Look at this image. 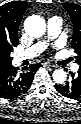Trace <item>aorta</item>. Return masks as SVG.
<instances>
[{
  "instance_id": "aorta-1",
  "label": "aorta",
  "mask_w": 81,
  "mask_h": 124,
  "mask_svg": "<svg viewBox=\"0 0 81 124\" xmlns=\"http://www.w3.org/2000/svg\"><path fill=\"white\" fill-rule=\"evenodd\" d=\"M24 29L30 37L39 38L45 33L46 23L40 16L32 15L25 20ZM52 77L56 83L62 84L67 79V73L63 69H57Z\"/></svg>"
}]
</instances>
